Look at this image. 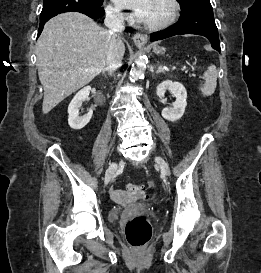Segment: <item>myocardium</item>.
<instances>
[{
  "instance_id": "myocardium-1",
  "label": "myocardium",
  "mask_w": 261,
  "mask_h": 273,
  "mask_svg": "<svg viewBox=\"0 0 261 273\" xmlns=\"http://www.w3.org/2000/svg\"><path fill=\"white\" fill-rule=\"evenodd\" d=\"M166 3L170 7L168 16L163 21L157 23H146V28L150 30H161L172 25L176 21L180 12V4L178 3V0H166Z\"/></svg>"
}]
</instances>
